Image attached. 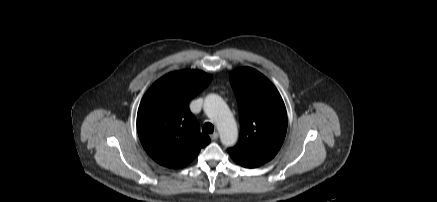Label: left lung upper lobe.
Instances as JSON below:
<instances>
[{"label":"left lung upper lobe","instance_id":"left-lung-upper-lobe-1","mask_svg":"<svg viewBox=\"0 0 437 202\" xmlns=\"http://www.w3.org/2000/svg\"><path fill=\"white\" fill-rule=\"evenodd\" d=\"M240 115V140L228 149L232 159L247 168L259 167L275 157L287 130V113L276 87L250 67L231 72Z\"/></svg>","mask_w":437,"mask_h":202}]
</instances>
